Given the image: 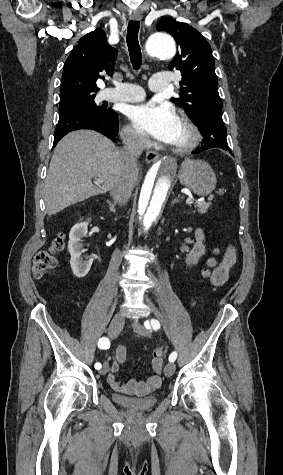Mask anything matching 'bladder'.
I'll list each match as a JSON object with an SVG mask.
<instances>
[{
  "instance_id": "31cf9c89",
  "label": "bladder",
  "mask_w": 283,
  "mask_h": 475,
  "mask_svg": "<svg viewBox=\"0 0 283 475\" xmlns=\"http://www.w3.org/2000/svg\"><path fill=\"white\" fill-rule=\"evenodd\" d=\"M112 400L129 410L147 412L150 408L156 406L159 401V395H148L145 397H127L119 393H114Z\"/></svg>"
}]
</instances>
